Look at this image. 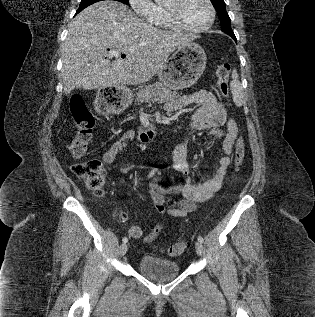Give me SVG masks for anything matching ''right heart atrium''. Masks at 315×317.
Masks as SVG:
<instances>
[{
  "label": "right heart atrium",
  "mask_w": 315,
  "mask_h": 317,
  "mask_svg": "<svg viewBox=\"0 0 315 317\" xmlns=\"http://www.w3.org/2000/svg\"><path fill=\"white\" fill-rule=\"evenodd\" d=\"M134 12L145 20H151L154 16L156 5L152 0H128Z\"/></svg>",
  "instance_id": "right-heart-atrium-1"
}]
</instances>
